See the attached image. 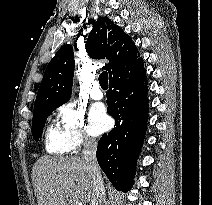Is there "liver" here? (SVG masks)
<instances>
[{
    "instance_id": "1",
    "label": "liver",
    "mask_w": 212,
    "mask_h": 205,
    "mask_svg": "<svg viewBox=\"0 0 212 205\" xmlns=\"http://www.w3.org/2000/svg\"><path fill=\"white\" fill-rule=\"evenodd\" d=\"M32 173L38 205H79L92 200V171L77 156L41 157Z\"/></svg>"
}]
</instances>
